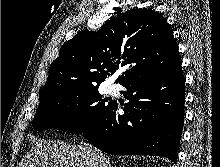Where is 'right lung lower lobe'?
<instances>
[{
	"label": "right lung lower lobe",
	"mask_w": 220,
	"mask_h": 167,
	"mask_svg": "<svg viewBox=\"0 0 220 167\" xmlns=\"http://www.w3.org/2000/svg\"><path fill=\"white\" fill-rule=\"evenodd\" d=\"M129 99L117 113L110 106L83 136L114 155H156L177 160L184 120L185 82L181 65L149 72L126 82Z\"/></svg>",
	"instance_id": "1"
}]
</instances>
